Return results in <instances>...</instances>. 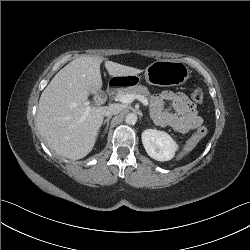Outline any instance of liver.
Masks as SVG:
<instances>
[{"label":"liver","instance_id":"liver-1","mask_svg":"<svg viewBox=\"0 0 250 250\" xmlns=\"http://www.w3.org/2000/svg\"><path fill=\"white\" fill-rule=\"evenodd\" d=\"M103 60L99 56L74 59L53 77L41 94L38 129L52 150L69 159H81L91 152L103 123L106 106L90 107L85 115L89 94L102 88ZM105 67L112 77L142 72L112 61H106Z\"/></svg>","mask_w":250,"mask_h":250}]
</instances>
